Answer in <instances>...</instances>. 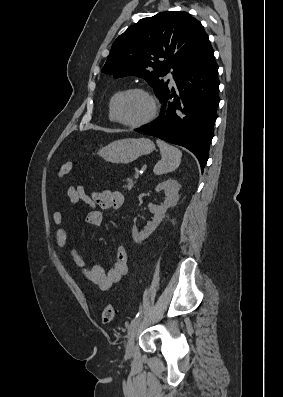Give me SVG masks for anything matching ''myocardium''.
<instances>
[{
	"label": "myocardium",
	"mask_w": 283,
	"mask_h": 397,
	"mask_svg": "<svg viewBox=\"0 0 283 397\" xmlns=\"http://www.w3.org/2000/svg\"><path fill=\"white\" fill-rule=\"evenodd\" d=\"M128 93H141L144 96L147 97V99L150 102L151 105V110L150 113L143 118L140 121L137 122H126L123 121L122 119L119 118L118 114H117V102L118 100L124 96L125 94ZM111 112H112V116L115 122H117L118 124L125 126V127H129V128H139L142 127L148 123H150L151 121H153L155 119V117L158 114V102L156 97L146 88L143 87H139V86H135V87H130V88H126L123 89L121 91H119L113 98L112 103H111Z\"/></svg>",
	"instance_id": "obj_1"
}]
</instances>
